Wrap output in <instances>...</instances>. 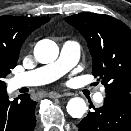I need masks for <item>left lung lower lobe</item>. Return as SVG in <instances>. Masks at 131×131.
<instances>
[{"instance_id":"1","label":"left lung lower lobe","mask_w":131,"mask_h":131,"mask_svg":"<svg viewBox=\"0 0 131 131\" xmlns=\"http://www.w3.org/2000/svg\"><path fill=\"white\" fill-rule=\"evenodd\" d=\"M77 131H131V107L104 99V105L77 124Z\"/></svg>"}]
</instances>
